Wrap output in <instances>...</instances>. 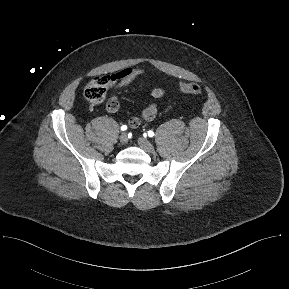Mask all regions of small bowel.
Wrapping results in <instances>:
<instances>
[{
  "label": "small bowel",
  "mask_w": 289,
  "mask_h": 289,
  "mask_svg": "<svg viewBox=\"0 0 289 289\" xmlns=\"http://www.w3.org/2000/svg\"><path fill=\"white\" fill-rule=\"evenodd\" d=\"M146 74V70L143 68H125L121 71L113 74L111 76V84L114 86L115 92L120 91L121 89L125 88L135 79L143 76ZM166 91L160 87H153L151 89V95L154 98H162L165 95ZM112 100L116 103V108L107 110L111 113H114L118 110L119 104L115 98ZM157 106L154 103L148 104L146 107L142 109L139 115L133 116L129 120V125L131 128H137L141 125L142 122H147L153 120L157 115Z\"/></svg>",
  "instance_id": "1"
}]
</instances>
